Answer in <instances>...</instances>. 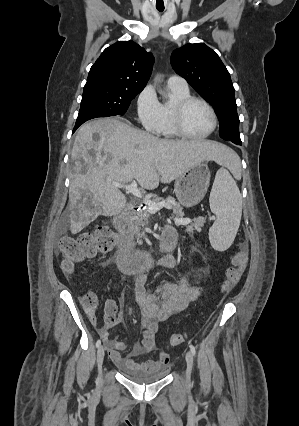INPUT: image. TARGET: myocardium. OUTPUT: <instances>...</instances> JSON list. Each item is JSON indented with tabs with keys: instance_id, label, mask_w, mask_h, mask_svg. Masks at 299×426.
I'll return each instance as SVG.
<instances>
[{
	"instance_id": "f54148a6",
	"label": "myocardium",
	"mask_w": 299,
	"mask_h": 426,
	"mask_svg": "<svg viewBox=\"0 0 299 426\" xmlns=\"http://www.w3.org/2000/svg\"><path fill=\"white\" fill-rule=\"evenodd\" d=\"M195 102H199L201 104H203L204 106L207 107V109L210 111L212 119H213V124L211 129L205 133V134H201V135H197V134H192L190 133L186 127H185V123H184V116H185V112L187 110V108ZM173 123H174V127L176 132L178 133V135L184 137V138H188V139H204L209 137L210 135H212L215 130L217 129L218 126V117H217V113L214 109V107L204 98L201 97H197V96H188L186 98H183L179 101H177L174 105L173 108Z\"/></svg>"
}]
</instances>
